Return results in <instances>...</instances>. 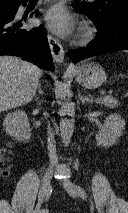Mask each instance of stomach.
Here are the masks:
<instances>
[{"instance_id":"1","label":"stomach","mask_w":128,"mask_h":213,"mask_svg":"<svg viewBox=\"0 0 128 213\" xmlns=\"http://www.w3.org/2000/svg\"><path fill=\"white\" fill-rule=\"evenodd\" d=\"M73 73L77 82L88 89L97 88L106 81L105 70L94 62L75 67Z\"/></svg>"}]
</instances>
